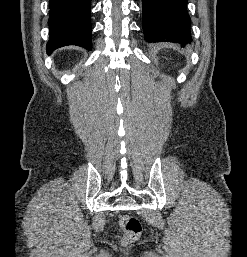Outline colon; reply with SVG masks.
Returning a JSON list of instances; mask_svg holds the SVG:
<instances>
[{
    "mask_svg": "<svg viewBox=\"0 0 247 257\" xmlns=\"http://www.w3.org/2000/svg\"><path fill=\"white\" fill-rule=\"evenodd\" d=\"M120 226L123 231L122 242L130 244L138 240L142 232L140 220L131 215H124L120 220Z\"/></svg>",
    "mask_w": 247,
    "mask_h": 257,
    "instance_id": "colon-1",
    "label": "colon"
}]
</instances>
